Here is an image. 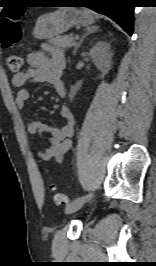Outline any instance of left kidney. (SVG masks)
I'll list each match as a JSON object with an SVG mask.
<instances>
[{
    "instance_id": "obj_1",
    "label": "left kidney",
    "mask_w": 156,
    "mask_h": 266,
    "mask_svg": "<svg viewBox=\"0 0 156 266\" xmlns=\"http://www.w3.org/2000/svg\"><path fill=\"white\" fill-rule=\"evenodd\" d=\"M90 57L96 67L103 73L107 74L111 68L112 55L108 43L100 41L90 50Z\"/></svg>"
}]
</instances>
